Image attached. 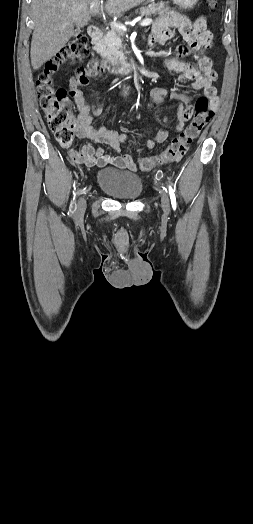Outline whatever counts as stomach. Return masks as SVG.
I'll list each match as a JSON object with an SVG mask.
<instances>
[{"mask_svg": "<svg viewBox=\"0 0 253 524\" xmlns=\"http://www.w3.org/2000/svg\"><path fill=\"white\" fill-rule=\"evenodd\" d=\"M199 0H172V2L175 5H178L179 7L183 9H190L194 7Z\"/></svg>", "mask_w": 253, "mask_h": 524, "instance_id": "stomach-1", "label": "stomach"}]
</instances>
